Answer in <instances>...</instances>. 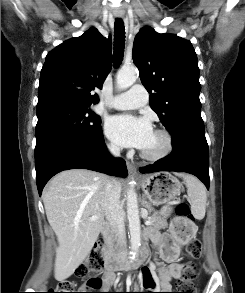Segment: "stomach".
<instances>
[{
	"instance_id": "stomach-1",
	"label": "stomach",
	"mask_w": 245,
	"mask_h": 293,
	"mask_svg": "<svg viewBox=\"0 0 245 293\" xmlns=\"http://www.w3.org/2000/svg\"><path fill=\"white\" fill-rule=\"evenodd\" d=\"M139 181L150 203L155 206L161 205V215L168 217L172 211L170 203L178 198L182 190L178 179L168 172H158L142 176ZM194 234L195 230L191 226L190 232H183L177 241L178 243L189 241Z\"/></svg>"
}]
</instances>
